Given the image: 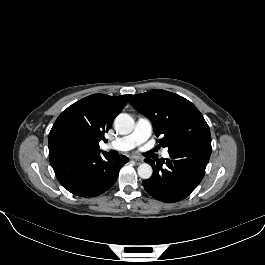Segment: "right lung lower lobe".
Listing matches in <instances>:
<instances>
[{
	"label": "right lung lower lobe",
	"mask_w": 265,
	"mask_h": 265,
	"mask_svg": "<svg viewBox=\"0 0 265 265\" xmlns=\"http://www.w3.org/2000/svg\"><path fill=\"white\" fill-rule=\"evenodd\" d=\"M97 152L70 153L50 158L58 181L69 192L81 197H94L107 191L116 181L124 155L110 157Z\"/></svg>",
	"instance_id": "obj_1"
}]
</instances>
